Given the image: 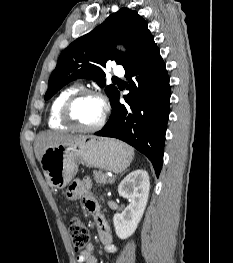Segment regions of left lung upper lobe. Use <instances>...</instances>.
Segmentation results:
<instances>
[{
	"mask_svg": "<svg viewBox=\"0 0 233 263\" xmlns=\"http://www.w3.org/2000/svg\"><path fill=\"white\" fill-rule=\"evenodd\" d=\"M144 19L134 10L122 8L104 23L73 41L60 55L52 72L44 99L51 98L64 85L77 78L96 80L105 86L104 68L108 60L124 68L135 60L153 40ZM127 47V53L114 48L115 42ZM111 103L119 92L113 85L105 88Z\"/></svg>",
	"mask_w": 233,
	"mask_h": 263,
	"instance_id": "obj_1",
	"label": "left lung upper lobe"
}]
</instances>
